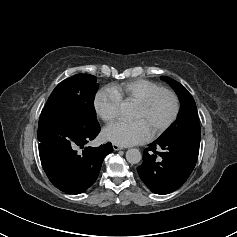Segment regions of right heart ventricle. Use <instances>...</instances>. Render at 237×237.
I'll use <instances>...</instances> for the list:
<instances>
[{
    "label": "right heart ventricle",
    "mask_w": 237,
    "mask_h": 237,
    "mask_svg": "<svg viewBox=\"0 0 237 237\" xmlns=\"http://www.w3.org/2000/svg\"><path fill=\"white\" fill-rule=\"evenodd\" d=\"M119 97L121 102L136 103L163 87L147 79H133L109 87Z\"/></svg>",
    "instance_id": "right-heart-ventricle-1"
}]
</instances>
